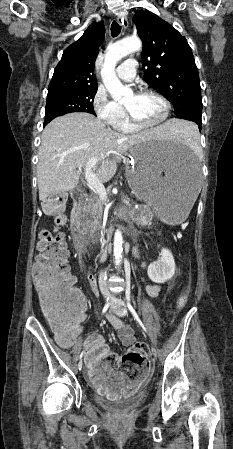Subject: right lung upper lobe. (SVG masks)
Segmentation results:
<instances>
[{
    "instance_id": "right-lung-upper-lobe-1",
    "label": "right lung upper lobe",
    "mask_w": 233,
    "mask_h": 449,
    "mask_svg": "<svg viewBox=\"0 0 233 449\" xmlns=\"http://www.w3.org/2000/svg\"><path fill=\"white\" fill-rule=\"evenodd\" d=\"M103 23L90 25L79 40L63 52L61 61L54 70L48 94L61 90L98 88L93 75L98 47L103 41Z\"/></svg>"
}]
</instances>
